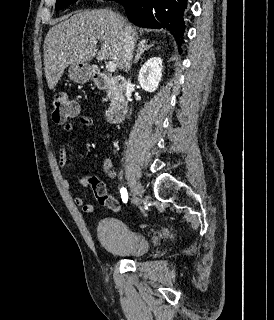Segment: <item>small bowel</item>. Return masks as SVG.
Returning a JSON list of instances; mask_svg holds the SVG:
<instances>
[{
    "mask_svg": "<svg viewBox=\"0 0 274 320\" xmlns=\"http://www.w3.org/2000/svg\"><path fill=\"white\" fill-rule=\"evenodd\" d=\"M76 111L78 112L79 109L76 107ZM93 124V121L90 117L87 116H78L75 123H70L65 126V132L71 133L76 127L83 128V127H90ZM58 163L61 169H64L68 163V147H67V138H63L59 152H58ZM102 169L104 174L109 175L112 171V160L111 158L107 157L103 161ZM95 176H85L82 178L78 184L72 183V181L68 177L63 178V185L66 189L71 190L75 186L79 187H87L90 186V178ZM74 203L81 207L82 211L86 214H91L94 211V206L91 203H85L84 198L82 196H75Z\"/></svg>",
    "mask_w": 274,
    "mask_h": 320,
    "instance_id": "obj_1",
    "label": "small bowel"
}]
</instances>
